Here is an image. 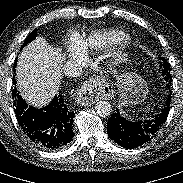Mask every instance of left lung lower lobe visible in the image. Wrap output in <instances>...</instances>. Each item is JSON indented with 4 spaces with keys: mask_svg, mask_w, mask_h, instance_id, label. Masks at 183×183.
<instances>
[{
    "mask_svg": "<svg viewBox=\"0 0 183 183\" xmlns=\"http://www.w3.org/2000/svg\"><path fill=\"white\" fill-rule=\"evenodd\" d=\"M164 76L167 82L166 87H169L171 74L166 73ZM170 102L171 94L166 98L165 104L159 113L144 121H129L122 117L119 110L116 108L107 122L109 137L126 149L144 144L157 133L166 121L170 110Z\"/></svg>",
    "mask_w": 183,
    "mask_h": 183,
    "instance_id": "left-lung-lower-lobe-1",
    "label": "left lung lower lobe"
}]
</instances>
